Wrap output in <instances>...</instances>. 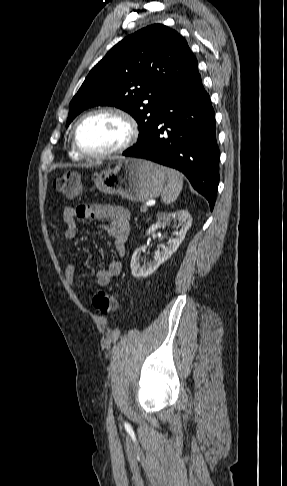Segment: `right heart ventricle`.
I'll use <instances>...</instances> for the list:
<instances>
[{"instance_id":"right-heart-ventricle-1","label":"right heart ventricle","mask_w":287,"mask_h":486,"mask_svg":"<svg viewBox=\"0 0 287 486\" xmlns=\"http://www.w3.org/2000/svg\"><path fill=\"white\" fill-rule=\"evenodd\" d=\"M70 155L74 158H79L80 155L74 150L73 147L70 148Z\"/></svg>"}]
</instances>
